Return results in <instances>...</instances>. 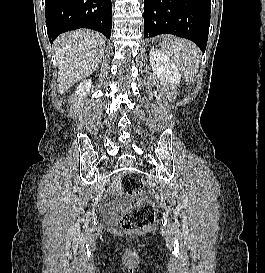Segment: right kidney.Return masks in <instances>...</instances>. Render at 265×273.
<instances>
[{
  "label": "right kidney",
  "instance_id": "right-kidney-1",
  "mask_svg": "<svg viewBox=\"0 0 265 273\" xmlns=\"http://www.w3.org/2000/svg\"><path fill=\"white\" fill-rule=\"evenodd\" d=\"M91 87L92 80L91 79L84 80L82 83L79 84L75 93L76 95L82 98L83 96H86L89 93Z\"/></svg>",
  "mask_w": 265,
  "mask_h": 273
}]
</instances>
